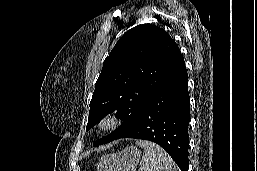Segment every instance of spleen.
I'll return each mask as SVG.
<instances>
[{
	"mask_svg": "<svg viewBox=\"0 0 257 171\" xmlns=\"http://www.w3.org/2000/svg\"><path fill=\"white\" fill-rule=\"evenodd\" d=\"M136 144L144 149L138 171H177L172 158L159 145L146 140H138Z\"/></svg>",
	"mask_w": 257,
	"mask_h": 171,
	"instance_id": "3e777b00",
	"label": "spleen"
}]
</instances>
